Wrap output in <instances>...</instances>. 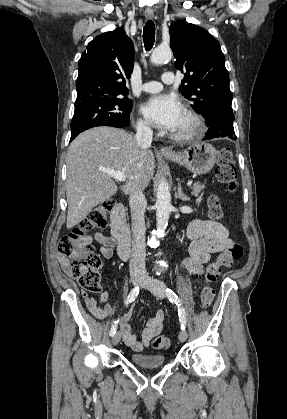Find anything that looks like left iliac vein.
<instances>
[{"label":"left iliac vein","instance_id":"left-iliac-vein-1","mask_svg":"<svg viewBox=\"0 0 287 419\" xmlns=\"http://www.w3.org/2000/svg\"><path fill=\"white\" fill-rule=\"evenodd\" d=\"M141 286L148 289L157 298L163 299L165 296L164 291H163L164 284L161 281L156 280L152 277H149V276L144 277L141 282ZM178 338L180 342H185L187 339L186 331L181 330Z\"/></svg>","mask_w":287,"mask_h":419}]
</instances>
